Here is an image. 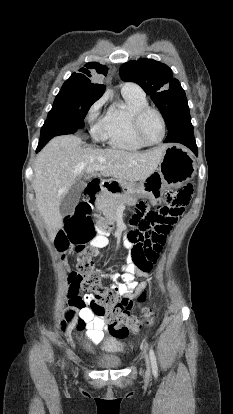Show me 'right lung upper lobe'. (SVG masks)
Here are the masks:
<instances>
[{
  "label": "right lung upper lobe",
  "instance_id": "obj_1",
  "mask_svg": "<svg viewBox=\"0 0 233 414\" xmlns=\"http://www.w3.org/2000/svg\"><path fill=\"white\" fill-rule=\"evenodd\" d=\"M94 69L96 73L105 75L107 74V67L96 62H90L85 65V68H81L79 71L82 73H72V76L64 83L63 86L74 88L76 90L90 92L100 98L105 91V85L97 84L91 81Z\"/></svg>",
  "mask_w": 233,
  "mask_h": 414
}]
</instances>
